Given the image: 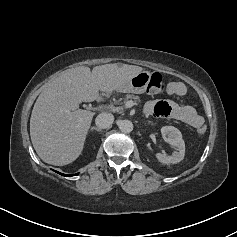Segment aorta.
Masks as SVG:
<instances>
[{
    "label": "aorta",
    "instance_id": "762f6f07",
    "mask_svg": "<svg viewBox=\"0 0 237 237\" xmlns=\"http://www.w3.org/2000/svg\"><path fill=\"white\" fill-rule=\"evenodd\" d=\"M118 127L123 133H130L133 130V124L130 120H121Z\"/></svg>",
    "mask_w": 237,
    "mask_h": 237
}]
</instances>
